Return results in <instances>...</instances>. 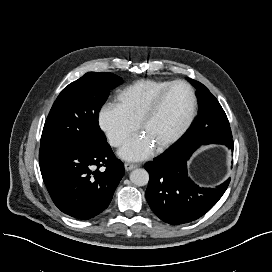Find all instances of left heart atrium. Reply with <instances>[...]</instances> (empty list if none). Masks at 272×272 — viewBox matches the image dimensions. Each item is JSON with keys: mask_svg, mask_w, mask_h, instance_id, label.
<instances>
[{"mask_svg": "<svg viewBox=\"0 0 272 272\" xmlns=\"http://www.w3.org/2000/svg\"><path fill=\"white\" fill-rule=\"evenodd\" d=\"M154 149L152 142L144 135L129 139L120 149L119 155L125 160L140 161L148 158Z\"/></svg>", "mask_w": 272, "mask_h": 272, "instance_id": "1", "label": "left heart atrium"}]
</instances>
